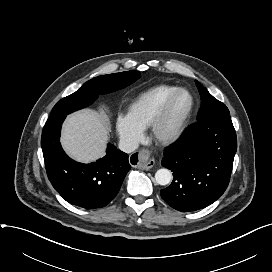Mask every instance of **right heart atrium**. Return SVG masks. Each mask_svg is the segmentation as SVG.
<instances>
[{"instance_id": "obj_1", "label": "right heart atrium", "mask_w": 272, "mask_h": 272, "mask_svg": "<svg viewBox=\"0 0 272 272\" xmlns=\"http://www.w3.org/2000/svg\"><path fill=\"white\" fill-rule=\"evenodd\" d=\"M116 130L121 142L127 148L136 147L143 139V130L137 127L127 114H119L117 116Z\"/></svg>"}]
</instances>
